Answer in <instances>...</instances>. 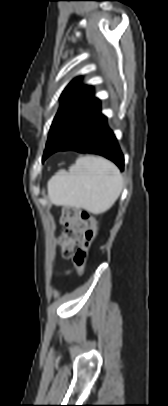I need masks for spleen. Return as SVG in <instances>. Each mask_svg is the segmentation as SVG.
Here are the masks:
<instances>
[{
  "label": "spleen",
  "instance_id": "1",
  "mask_svg": "<svg viewBox=\"0 0 168 406\" xmlns=\"http://www.w3.org/2000/svg\"><path fill=\"white\" fill-rule=\"evenodd\" d=\"M49 200L57 206L82 208L93 214L109 210L123 189L115 164L98 156L79 157L68 171L59 170L48 181Z\"/></svg>",
  "mask_w": 168,
  "mask_h": 406
}]
</instances>
